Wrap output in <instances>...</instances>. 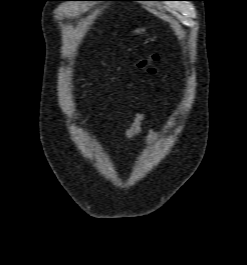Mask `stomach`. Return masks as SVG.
I'll use <instances>...</instances> for the list:
<instances>
[{
    "instance_id": "stomach-1",
    "label": "stomach",
    "mask_w": 247,
    "mask_h": 265,
    "mask_svg": "<svg viewBox=\"0 0 247 265\" xmlns=\"http://www.w3.org/2000/svg\"><path fill=\"white\" fill-rule=\"evenodd\" d=\"M132 32L133 34H142L144 32V29H135Z\"/></svg>"
}]
</instances>
